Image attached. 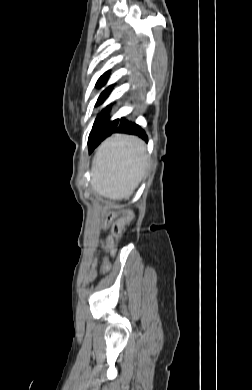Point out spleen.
Here are the masks:
<instances>
[{"instance_id": "3e777b00", "label": "spleen", "mask_w": 252, "mask_h": 390, "mask_svg": "<svg viewBox=\"0 0 252 390\" xmlns=\"http://www.w3.org/2000/svg\"><path fill=\"white\" fill-rule=\"evenodd\" d=\"M146 160L145 146L139 139L116 136L108 140L93 159V190L112 200L129 198L141 182Z\"/></svg>"}]
</instances>
